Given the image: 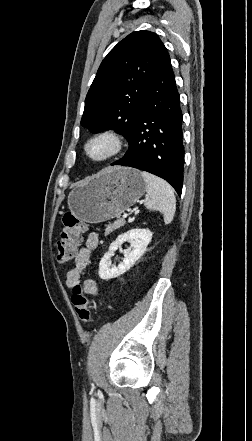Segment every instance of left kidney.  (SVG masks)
Returning <instances> with one entry per match:
<instances>
[{"label": "left kidney", "instance_id": "obj_1", "mask_svg": "<svg viewBox=\"0 0 252 441\" xmlns=\"http://www.w3.org/2000/svg\"><path fill=\"white\" fill-rule=\"evenodd\" d=\"M151 239L152 232L149 229H132L119 235L99 263V277L102 280H110L124 274L144 254ZM126 241L130 242L131 248L124 251V259L118 266L110 267L109 260L113 252Z\"/></svg>", "mask_w": 252, "mask_h": 441}]
</instances>
